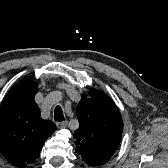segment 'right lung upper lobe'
<instances>
[{
	"label": "right lung upper lobe",
	"instance_id": "obj_1",
	"mask_svg": "<svg viewBox=\"0 0 168 168\" xmlns=\"http://www.w3.org/2000/svg\"><path fill=\"white\" fill-rule=\"evenodd\" d=\"M37 91L36 82L24 81L10 89L0 107V153L17 167L33 162L56 130L41 118L34 101Z\"/></svg>",
	"mask_w": 168,
	"mask_h": 168
}]
</instances>
